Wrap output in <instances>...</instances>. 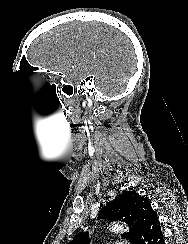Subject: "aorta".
Instances as JSON below:
<instances>
[{"label":"aorta","mask_w":188,"mask_h":244,"mask_svg":"<svg viewBox=\"0 0 188 244\" xmlns=\"http://www.w3.org/2000/svg\"><path fill=\"white\" fill-rule=\"evenodd\" d=\"M110 230L112 232H123V231H126L127 228L123 224L114 223V224H112V226H110Z\"/></svg>","instance_id":"obj_1"}]
</instances>
